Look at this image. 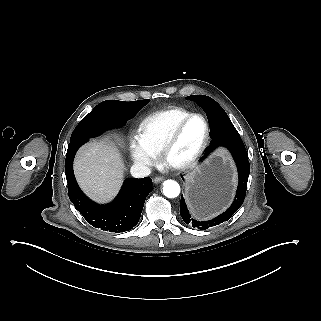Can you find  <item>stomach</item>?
Segmentation results:
<instances>
[{
    "mask_svg": "<svg viewBox=\"0 0 321 321\" xmlns=\"http://www.w3.org/2000/svg\"><path fill=\"white\" fill-rule=\"evenodd\" d=\"M237 174L230 154L217 150L187 176L185 196L196 218L227 206L234 194Z\"/></svg>",
    "mask_w": 321,
    "mask_h": 321,
    "instance_id": "1",
    "label": "stomach"
}]
</instances>
